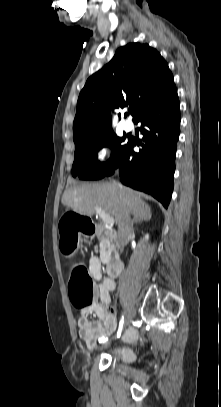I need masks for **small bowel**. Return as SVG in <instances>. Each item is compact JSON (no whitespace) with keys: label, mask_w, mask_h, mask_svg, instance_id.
I'll use <instances>...</instances> for the list:
<instances>
[{"label":"small bowel","mask_w":221,"mask_h":407,"mask_svg":"<svg viewBox=\"0 0 221 407\" xmlns=\"http://www.w3.org/2000/svg\"><path fill=\"white\" fill-rule=\"evenodd\" d=\"M89 272L96 282L95 300L90 306L81 310L78 327L80 338L88 349H93L100 338L111 335L116 329L115 308L111 302V292L116 288V281L111 277L103 278L102 265L97 256L91 257ZM90 314H94L97 320H91ZM136 337L137 333L132 330L125 335V340L131 341Z\"/></svg>","instance_id":"1"}]
</instances>
